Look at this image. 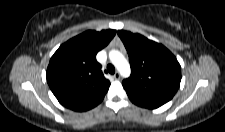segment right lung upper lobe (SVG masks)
Wrapping results in <instances>:
<instances>
[{
    "mask_svg": "<svg viewBox=\"0 0 225 132\" xmlns=\"http://www.w3.org/2000/svg\"><path fill=\"white\" fill-rule=\"evenodd\" d=\"M115 34V30L86 31L62 44L51 57L47 82L63 106L82 112L103 100L110 82L104 77L96 54Z\"/></svg>",
    "mask_w": 225,
    "mask_h": 132,
    "instance_id": "cb5924a9",
    "label": "right lung upper lobe"
}]
</instances>
